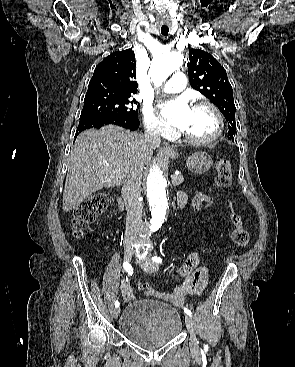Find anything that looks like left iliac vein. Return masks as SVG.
Segmentation results:
<instances>
[{
    "label": "left iliac vein",
    "instance_id": "4c4485c4",
    "mask_svg": "<svg viewBox=\"0 0 295 367\" xmlns=\"http://www.w3.org/2000/svg\"><path fill=\"white\" fill-rule=\"evenodd\" d=\"M138 263L141 265V267L149 272V273H155L158 270V265L155 262L151 261H145L143 259H138ZM185 323L186 327L190 333V348L192 353L198 354L199 353V345L195 334V325L194 321L191 316L186 315L185 316Z\"/></svg>",
    "mask_w": 295,
    "mask_h": 367
}]
</instances>
